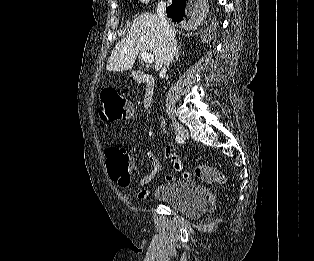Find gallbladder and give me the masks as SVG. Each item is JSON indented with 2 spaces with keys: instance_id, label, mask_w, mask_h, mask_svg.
Here are the masks:
<instances>
[{
  "instance_id": "gallbladder-1",
  "label": "gallbladder",
  "mask_w": 314,
  "mask_h": 261,
  "mask_svg": "<svg viewBox=\"0 0 314 261\" xmlns=\"http://www.w3.org/2000/svg\"><path fill=\"white\" fill-rule=\"evenodd\" d=\"M142 75H143V71L137 70V71H132L130 76L133 78H138V77H141Z\"/></svg>"
}]
</instances>
